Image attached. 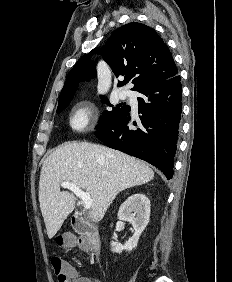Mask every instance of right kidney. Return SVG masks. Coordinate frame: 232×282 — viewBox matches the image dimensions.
Here are the masks:
<instances>
[{
	"label": "right kidney",
	"mask_w": 232,
	"mask_h": 282,
	"mask_svg": "<svg viewBox=\"0 0 232 282\" xmlns=\"http://www.w3.org/2000/svg\"><path fill=\"white\" fill-rule=\"evenodd\" d=\"M150 218V201L142 193L129 197L119 208L118 219L128 221L132 224L135 232L124 244L111 242L112 252L121 253L123 250L132 251L137 244L140 235L145 230Z\"/></svg>",
	"instance_id": "ca27d5eb"
}]
</instances>
